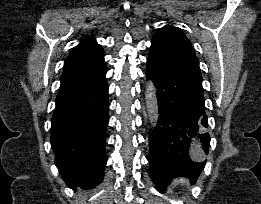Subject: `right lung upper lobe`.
<instances>
[{
	"label": "right lung upper lobe",
	"mask_w": 261,
	"mask_h": 204,
	"mask_svg": "<svg viewBox=\"0 0 261 204\" xmlns=\"http://www.w3.org/2000/svg\"><path fill=\"white\" fill-rule=\"evenodd\" d=\"M102 59H104L102 47L93 37L84 38L67 57L64 64V72L92 65Z\"/></svg>",
	"instance_id": "cb5924a9"
}]
</instances>
